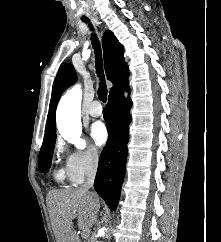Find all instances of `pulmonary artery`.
<instances>
[{
	"mask_svg": "<svg viewBox=\"0 0 221 242\" xmlns=\"http://www.w3.org/2000/svg\"><path fill=\"white\" fill-rule=\"evenodd\" d=\"M88 114L92 117H98L102 114V107L98 101H93L90 104Z\"/></svg>",
	"mask_w": 221,
	"mask_h": 242,
	"instance_id": "1",
	"label": "pulmonary artery"
}]
</instances>
